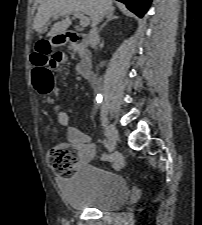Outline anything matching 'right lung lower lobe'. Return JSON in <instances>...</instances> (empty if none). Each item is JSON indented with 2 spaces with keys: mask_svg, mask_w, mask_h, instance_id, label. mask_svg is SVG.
Instances as JSON below:
<instances>
[{
  "mask_svg": "<svg viewBox=\"0 0 202 225\" xmlns=\"http://www.w3.org/2000/svg\"><path fill=\"white\" fill-rule=\"evenodd\" d=\"M126 4L127 8L140 18L147 12L151 0H117Z\"/></svg>",
  "mask_w": 202,
  "mask_h": 225,
  "instance_id": "right-lung-lower-lobe-1",
  "label": "right lung lower lobe"
}]
</instances>
